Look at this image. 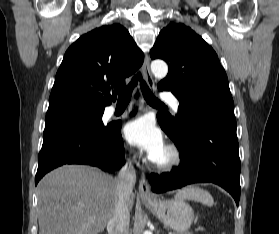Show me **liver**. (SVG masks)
I'll use <instances>...</instances> for the list:
<instances>
[{
	"mask_svg": "<svg viewBox=\"0 0 279 234\" xmlns=\"http://www.w3.org/2000/svg\"><path fill=\"white\" fill-rule=\"evenodd\" d=\"M37 194L39 234H99L118 198L116 179L83 165H65L48 173ZM134 199L131 194L127 200L129 212Z\"/></svg>",
	"mask_w": 279,
	"mask_h": 234,
	"instance_id": "1",
	"label": "liver"
}]
</instances>
